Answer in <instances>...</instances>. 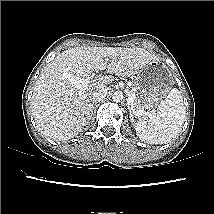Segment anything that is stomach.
Here are the masks:
<instances>
[{"mask_svg":"<svg viewBox=\"0 0 214 214\" xmlns=\"http://www.w3.org/2000/svg\"><path fill=\"white\" fill-rule=\"evenodd\" d=\"M173 84L170 68L163 61L154 60L135 77L134 102L142 109H151L167 97Z\"/></svg>","mask_w":214,"mask_h":214,"instance_id":"1","label":"stomach"}]
</instances>
